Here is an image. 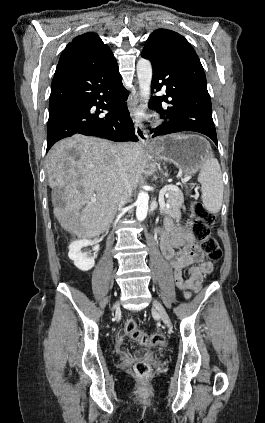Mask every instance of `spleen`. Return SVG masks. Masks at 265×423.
Listing matches in <instances>:
<instances>
[{
    "label": "spleen",
    "instance_id": "3e777b00",
    "mask_svg": "<svg viewBox=\"0 0 265 423\" xmlns=\"http://www.w3.org/2000/svg\"><path fill=\"white\" fill-rule=\"evenodd\" d=\"M201 184L202 201L213 214L220 211L223 202V181L219 162L212 152L206 157L198 175Z\"/></svg>",
    "mask_w": 265,
    "mask_h": 423
}]
</instances>
